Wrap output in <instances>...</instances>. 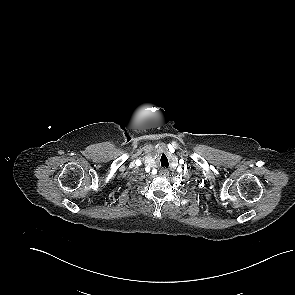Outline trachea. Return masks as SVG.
<instances>
[{
	"mask_svg": "<svg viewBox=\"0 0 295 295\" xmlns=\"http://www.w3.org/2000/svg\"><path fill=\"white\" fill-rule=\"evenodd\" d=\"M169 163H168V159L165 155L161 156V167H166L168 168Z\"/></svg>",
	"mask_w": 295,
	"mask_h": 295,
	"instance_id": "3493384b",
	"label": "trachea"
}]
</instances>
